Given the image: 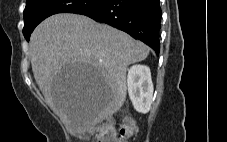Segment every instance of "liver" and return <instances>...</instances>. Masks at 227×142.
Listing matches in <instances>:
<instances>
[{
	"label": "liver",
	"instance_id": "6515ba94",
	"mask_svg": "<svg viewBox=\"0 0 227 142\" xmlns=\"http://www.w3.org/2000/svg\"><path fill=\"white\" fill-rule=\"evenodd\" d=\"M149 50L125 32L69 13L45 19L30 39L36 83L51 109L77 133L91 131L122 107L127 95V67L145 60ZM64 61L94 65L100 73V78H93L94 88H61L62 81H54V76ZM81 89L86 90L73 94Z\"/></svg>",
	"mask_w": 227,
	"mask_h": 142
}]
</instances>
